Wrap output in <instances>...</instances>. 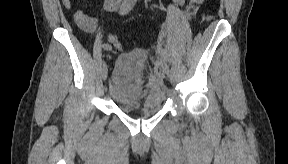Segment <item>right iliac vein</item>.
I'll return each instance as SVG.
<instances>
[{"label":"right iliac vein","instance_id":"right-iliac-vein-1","mask_svg":"<svg viewBox=\"0 0 288 164\" xmlns=\"http://www.w3.org/2000/svg\"><path fill=\"white\" fill-rule=\"evenodd\" d=\"M101 74H102L103 80H106V79H107V76H108V69H107L106 63H103V65H102Z\"/></svg>","mask_w":288,"mask_h":164}]
</instances>
